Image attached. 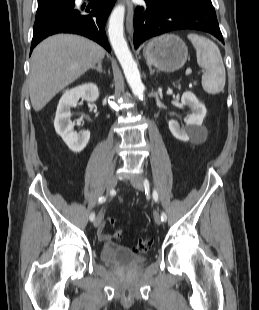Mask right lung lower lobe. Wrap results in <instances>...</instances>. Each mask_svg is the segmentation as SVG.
Listing matches in <instances>:
<instances>
[{"mask_svg": "<svg viewBox=\"0 0 259 310\" xmlns=\"http://www.w3.org/2000/svg\"><path fill=\"white\" fill-rule=\"evenodd\" d=\"M116 0H90L81 8L75 0L67 5L37 10L33 28L31 51L46 37L57 33H75L86 36L108 52L111 47L105 35V23Z\"/></svg>", "mask_w": 259, "mask_h": 310, "instance_id": "98d812e1", "label": "right lung lower lobe"}]
</instances>
